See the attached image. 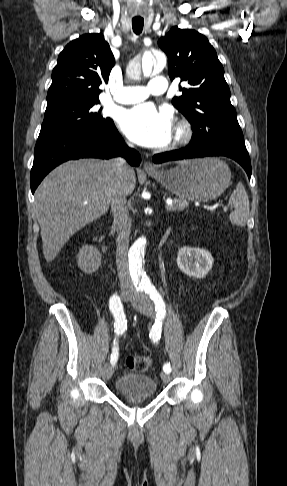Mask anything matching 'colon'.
Returning <instances> with one entry per match:
<instances>
[{
  "mask_svg": "<svg viewBox=\"0 0 287 486\" xmlns=\"http://www.w3.org/2000/svg\"><path fill=\"white\" fill-rule=\"evenodd\" d=\"M127 366L137 372H145L151 367V359L144 355H132L126 360Z\"/></svg>",
  "mask_w": 287,
  "mask_h": 486,
  "instance_id": "1",
  "label": "colon"
}]
</instances>
